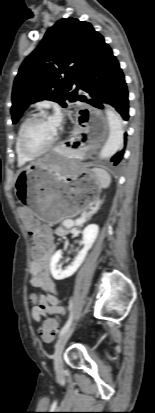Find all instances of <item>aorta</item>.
<instances>
[{
  "label": "aorta",
  "instance_id": "obj_1",
  "mask_svg": "<svg viewBox=\"0 0 155 413\" xmlns=\"http://www.w3.org/2000/svg\"><path fill=\"white\" fill-rule=\"evenodd\" d=\"M105 114L109 127V135L100 152V157L102 159H107L113 156L121 148L124 138V128L121 116L110 106H106Z\"/></svg>",
  "mask_w": 155,
  "mask_h": 413
}]
</instances>
